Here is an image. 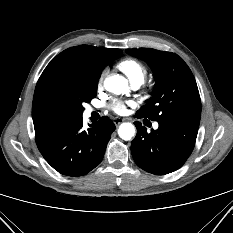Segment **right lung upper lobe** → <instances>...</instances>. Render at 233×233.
<instances>
[{
	"label": "right lung upper lobe",
	"instance_id": "obj_1",
	"mask_svg": "<svg viewBox=\"0 0 233 233\" xmlns=\"http://www.w3.org/2000/svg\"><path fill=\"white\" fill-rule=\"evenodd\" d=\"M118 49L80 45L58 54L41 74L33 97L35 134L73 117L62 89L76 77L100 78L105 63Z\"/></svg>",
	"mask_w": 233,
	"mask_h": 233
}]
</instances>
